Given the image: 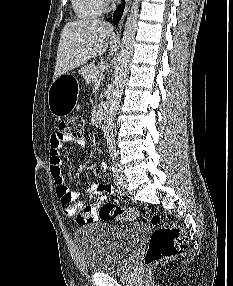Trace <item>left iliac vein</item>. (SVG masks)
<instances>
[{"instance_id": "left-iliac-vein-1", "label": "left iliac vein", "mask_w": 233, "mask_h": 286, "mask_svg": "<svg viewBox=\"0 0 233 286\" xmlns=\"http://www.w3.org/2000/svg\"><path fill=\"white\" fill-rule=\"evenodd\" d=\"M112 172H113V176L118 186L122 189H126L127 188V177L123 173L122 169L116 164H114L112 167Z\"/></svg>"}]
</instances>
